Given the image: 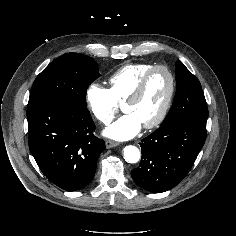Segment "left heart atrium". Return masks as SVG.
Here are the masks:
<instances>
[{
	"mask_svg": "<svg viewBox=\"0 0 236 236\" xmlns=\"http://www.w3.org/2000/svg\"><path fill=\"white\" fill-rule=\"evenodd\" d=\"M143 124L133 113H126L107 127L104 135L118 141H125L135 137Z\"/></svg>",
	"mask_w": 236,
	"mask_h": 236,
	"instance_id": "1",
	"label": "left heart atrium"
}]
</instances>
